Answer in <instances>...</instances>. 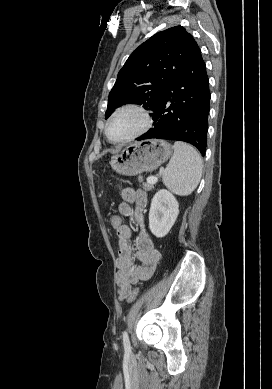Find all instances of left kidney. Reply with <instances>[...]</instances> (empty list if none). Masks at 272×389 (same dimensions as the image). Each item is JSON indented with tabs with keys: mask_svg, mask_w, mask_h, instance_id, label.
<instances>
[{
	"mask_svg": "<svg viewBox=\"0 0 272 389\" xmlns=\"http://www.w3.org/2000/svg\"><path fill=\"white\" fill-rule=\"evenodd\" d=\"M179 214V203L166 189L159 190L152 198L149 211V228L152 234L162 238L168 234Z\"/></svg>",
	"mask_w": 272,
	"mask_h": 389,
	"instance_id": "1",
	"label": "left kidney"
}]
</instances>
